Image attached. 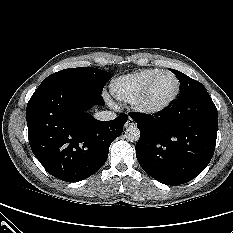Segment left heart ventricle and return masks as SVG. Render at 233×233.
Here are the masks:
<instances>
[{
	"mask_svg": "<svg viewBox=\"0 0 233 233\" xmlns=\"http://www.w3.org/2000/svg\"><path fill=\"white\" fill-rule=\"evenodd\" d=\"M176 82L170 74L160 75L151 85L145 101L150 105H159L168 100L174 93Z\"/></svg>",
	"mask_w": 233,
	"mask_h": 233,
	"instance_id": "left-heart-ventricle-1",
	"label": "left heart ventricle"
}]
</instances>
